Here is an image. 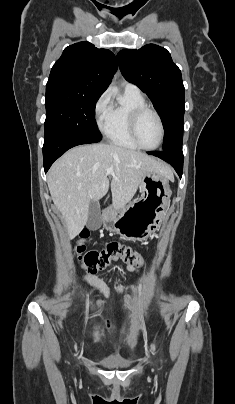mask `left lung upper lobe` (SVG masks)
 Listing matches in <instances>:
<instances>
[{"label":"left lung upper lobe","mask_w":235,"mask_h":404,"mask_svg":"<svg viewBox=\"0 0 235 404\" xmlns=\"http://www.w3.org/2000/svg\"><path fill=\"white\" fill-rule=\"evenodd\" d=\"M125 79L151 99L165 129L163 150L182 149L185 89L180 69L163 47L148 44L117 55Z\"/></svg>","instance_id":"1"}]
</instances>
